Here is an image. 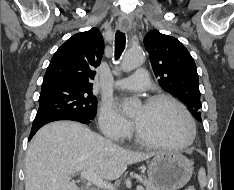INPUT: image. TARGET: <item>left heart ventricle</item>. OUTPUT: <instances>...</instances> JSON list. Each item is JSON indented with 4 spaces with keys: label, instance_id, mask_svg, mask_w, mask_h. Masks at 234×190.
Returning a JSON list of instances; mask_svg holds the SVG:
<instances>
[{
    "label": "left heart ventricle",
    "instance_id": "1",
    "mask_svg": "<svg viewBox=\"0 0 234 190\" xmlns=\"http://www.w3.org/2000/svg\"><path fill=\"white\" fill-rule=\"evenodd\" d=\"M133 119L145 136L158 142L180 143L189 136L184 114L168 101L140 105Z\"/></svg>",
    "mask_w": 234,
    "mask_h": 190
}]
</instances>
